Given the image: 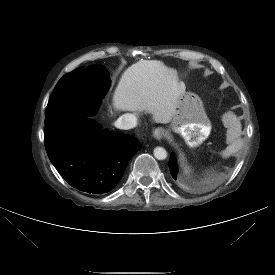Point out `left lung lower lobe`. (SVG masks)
<instances>
[{"mask_svg":"<svg viewBox=\"0 0 275 275\" xmlns=\"http://www.w3.org/2000/svg\"><path fill=\"white\" fill-rule=\"evenodd\" d=\"M169 170H170V173H171L173 179L176 180L178 169H177V166H176V159L174 157V154L171 155V158L169 160Z\"/></svg>","mask_w":275,"mask_h":275,"instance_id":"1","label":"left lung lower lobe"}]
</instances>
